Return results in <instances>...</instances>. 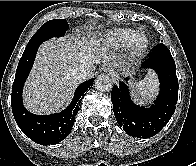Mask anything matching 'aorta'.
<instances>
[{
	"instance_id": "1",
	"label": "aorta",
	"mask_w": 196,
	"mask_h": 166,
	"mask_svg": "<svg viewBox=\"0 0 196 166\" xmlns=\"http://www.w3.org/2000/svg\"><path fill=\"white\" fill-rule=\"evenodd\" d=\"M95 88L98 91L105 92V91H110L112 89V80L110 79L109 76L106 75H99L95 79Z\"/></svg>"
}]
</instances>
